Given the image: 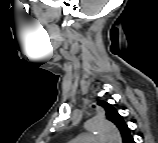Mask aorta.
Returning <instances> with one entry per match:
<instances>
[{"instance_id":"1","label":"aorta","mask_w":158,"mask_h":143,"mask_svg":"<svg viewBox=\"0 0 158 143\" xmlns=\"http://www.w3.org/2000/svg\"><path fill=\"white\" fill-rule=\"evenodd\" d=\"M85 129L89 132L101 134L107 143H122L120 132L110 121L94 117L85 123Z\"/></svg>"}]
</instances>
